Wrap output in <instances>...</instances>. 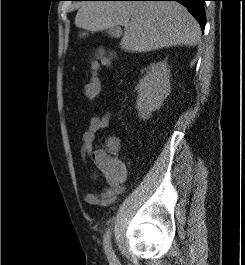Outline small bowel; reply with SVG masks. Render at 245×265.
I'll list each match as a JSON object with an SVG mask.
<instances>
[{"mask_svg":"<svg viewBox=\"0 0 245 265\" xmlns=\"http://www.w3.org/2000/svg\"><path fill=\"white\" fill-rule=\"evenodd\" d=\"M111 120V114L106 112L102 115H94L89 122L87 130L82 135L81 145V159L85 162L86 157H90L96 166V156L101 149H94V140L96 134L103 129L107 128ZM106 150L116 153L117 149L111 147V143L107 146ZM96 171L92 174V180L97 181L100 175L105 180L106 186L99 192L86 193L83 197L84 201L90 205L109 206L115 203L119 196L124 192V177L125 174L118 179H110L103 175L96 166Z\"/></svg>","mask_w":245,"mask_h":265,"instance_id":"obj_1","label":"small bowel"}]
</instances>
